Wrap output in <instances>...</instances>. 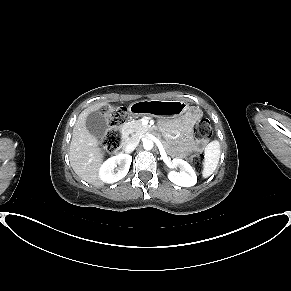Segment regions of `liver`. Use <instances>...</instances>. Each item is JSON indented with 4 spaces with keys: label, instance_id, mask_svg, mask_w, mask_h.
I'll return each mask as SVG.
<instances>
[{
    "label": "liver",
    "instance_id": "obj_1",
    "mask_svg": "<svg viewBox=\"0 0 291 291\" xmlns=\"http://www.w3.org/2000/svg\"><path fill=\"white\" fill-rule=\"evenodd\" d=\"M105 105H107L106 102L95 104L79 115L73 129L69 148L70 164L74 172L81 179L95 186L103 185L98 176L103 153L96 137L92 136L87 130L85 121L90 112L99 110Z\"/></svg>",
    "mask_w": 291,
    "mask_h": 291
}]
</instances>
